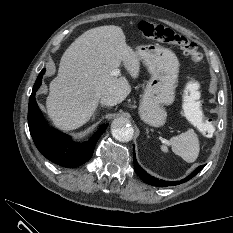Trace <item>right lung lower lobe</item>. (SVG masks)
I'll return each mask as SVG.
<instances>
[{"label": "right lung lower lobe", "mask_w": 233, "mask_h": 233, "mask_svg": "<svg viewBox=\"0 0 233 233\" xmlns=\"http://www.w3.org/2000/svg\"><path fill=\"white\" fill-rule=\"evenodd\" d=\"M45 69H42L34 84L29 99L28 125L30 134L38 150L50 161L63 167L74 168L88 161L94 151L99 137L107 128L103 125L84 143L73 142L68 135L46 126L45 120L37 106L35 92L41 85Z\"/></svg>", "instance_id": "obj_1"}]
</instances>
